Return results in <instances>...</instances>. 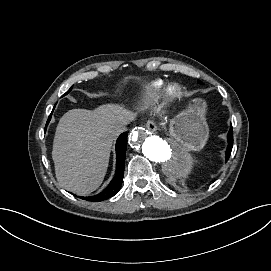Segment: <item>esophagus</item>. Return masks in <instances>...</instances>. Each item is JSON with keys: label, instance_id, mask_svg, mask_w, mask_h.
<instances>
[{"label": "esophagus", "instance_id": "34e87169", "mask_svg": "<svg viewBox=\"0 0 271 271\" xmlns=\"http://www.w3.org/2000/svg\"><path fill=\"white\" fill-rule=\"evenodd\" d=\"M145 126L146 128L151 131V132H155L157 130V126L154 122V120H148L146 123H145Z\"/></svg>", "mask_w": 271, "mask_h": 271}]
</instances>
